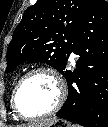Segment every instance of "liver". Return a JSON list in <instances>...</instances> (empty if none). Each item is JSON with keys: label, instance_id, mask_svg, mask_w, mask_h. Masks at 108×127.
<instances>
[{"label": "liver", "instance_id": "6515ba94", "mask_svg": "<svg viewBox=\"0 0 108 127\" xmlns=\"http://www.w3.org/2000/svg\"><path fill=\"white\" fill-rule=\"evenodd\" d=\"M56 118H48V119H44V120H39L36 122H33L31 124H24L21 125L19 127H43L48 125L49 123L53 122Z\"/></svg>", "mask_w": 108, "mask_h": 127}]
</instances>
